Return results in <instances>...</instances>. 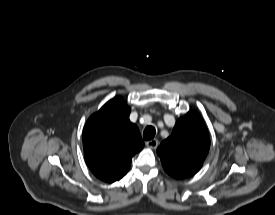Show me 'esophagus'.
Returning <instances> with one entry per match:
<instances>
[{
	"mask_svg": "<svg viewBox=\"0 0 275 215\" xmlns=\"http://www.w3.org/2000/svg\"><path fill=\"white\" fill-rule=\"evenodd\" d=\"M146 146L151 148V149H156L158 147L159 141L157 139H153L150 141H147Z\"/></svg>",
	"mask_w": 275,
	"mask_h": 215,
	"instance_id": "esophagus-1",
	"label": "esophagus"
}]
</instances>
